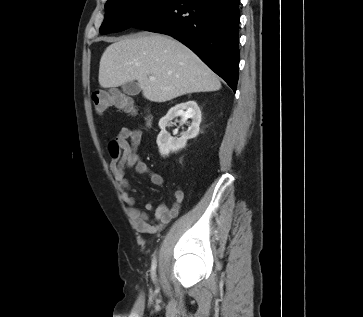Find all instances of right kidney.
I'll list each match as a JSON object with an SVG mask.
<instances>
[{
	"label": "right kidney",
	"instance_id": "1",
	"mask_svg": "<svg viewBox=\"0 0 363 317\" xmlns=\"http://www.w3.org/2000/svg\"><path fill=\"white\" fill-rule=\"evenodd\" d=\"M183 119L191 118L192 123L188 130L181 134L180 138H173L167 131V123L176 117ZM201 123V111L195 101H187L172 107L166 116L160 119L159 127L161 129L157 137V145L162 156H168L170 152H176L186 146L187 140L195 138L199 133Z\"/></svg>",
	"mask_w": 363,
	"mask_h": 317
}]
</instances>
